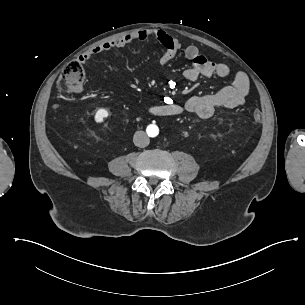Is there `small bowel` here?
<instances>
[{
	"instance_id": "c3829d8e",
	"label": "small bowel",
	"mask_w": 305,
	"mask_h": 305,
	"mask_svg": "<svg viewBox=\"0 0 305 305\" xmlns=\"http://www.w3.org/2000/svg\"><path fill=\"white\" fill-rule=\"evenodd\" d=\"M157 40L165 49L159 56L157 64L164 65L175 57L181 56L191 61V66L183 73L187 81L194 82L200 77L217 76L226 78L230 75V68L224 63L214 62L203 54L194 45L184 46L167 32L159 29L140 30L112 40L98 44L85 51L78 57L80 63H86L94 56L114 49L123 48L136 41L148 39ZM250 84L246 74L236 73L232 85L216 92L202 96H192L179 103L171 96L162 103L150 107L152 113L166 116H176L185 112L193 113L200 118H209L217 108L233 109L242 106L249 94Z\"/></svg>"
}]
</instances>
